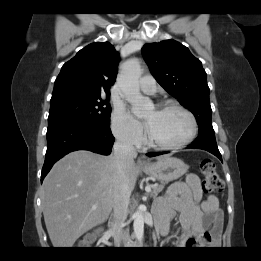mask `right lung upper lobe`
<instances>
[{
	"label": "right lung upper lobe",
	"instance_id": "1",
	"mask_svg": "<svg viewBox=\"0 0 261 261\" xmlns=\"http://www.w3.org/2000/svg\"><path fill=\"white\" fill-rule=\"evenodd\" d=\"M119 54L109 42H95L66 62L55 80L53 94L74 92L110 95L117 76Z\"/></svg>",
	"mask_w": 261,
	"mask_h": 261
}]
</instances>
